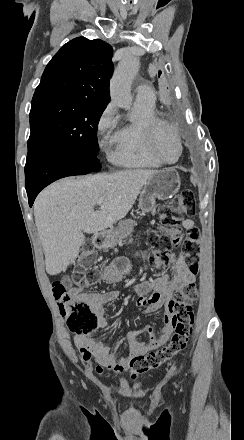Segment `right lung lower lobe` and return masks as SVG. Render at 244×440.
Here are the masks:
<instances>
[{"mask_svg":"<svg viewBox=\"0 0 244 440\" xmlns=\"http://www.w3.org/2000/svg\"><path fill=\"white\" fill-rule=\"evenodd\" d=\"M100 169L97 157H83L52 146L28 148L25 187L30 207L38 193L50 183L67 176L98 172Z\"/></svg>","mask_w":244,"mask_h":440,"instance_id":"98d812e1","label":"right lung lower lobe"}]
</instances>
